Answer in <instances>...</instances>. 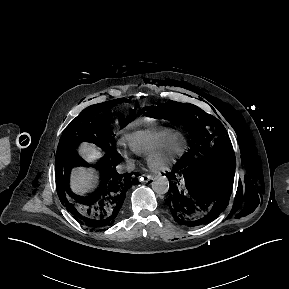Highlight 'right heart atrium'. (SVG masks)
Instances as JSON below:
<instances>
[{
	"mask_svg": "<svg viewBox=\"0 0 289 289\" xmlns=\"http://www.w3.org/2000/svg\"><path fill=\"white\" fill-rule=\"evenodd\" d=\"M117 153H118L121 157L125 158L127 161L130 160L129 154H128L127 151L122 150V149H119V150L117 151Z\"/></svg>",
	"mask_w": 289,
	"mask_h": 289,
	"instance_id": "1",
	"label": "right heart atrium"
}]
</instances>
